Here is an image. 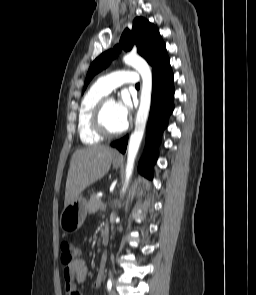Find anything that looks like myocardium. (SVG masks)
Wrapping results in <instances>:
<instances>
[{"instance_id": "obj_1", "label": "myocardium", "mask_w": 256, "mask_h": 295, "mask_svg": "<svg viewBox=\"0 0 256 295\" xmlns=\"http://www.w3.org/2000/svg\"><path fill=\"white\" fill-rule=\"evenodd\" d=\"M109 100V98H102L97 105L95 106L93 113H92V118H91V122H92V128L94 129V131L99 134L101 137L103 138H114L117 136H120L121 134H123L126 129H127V125H124V127L118 131H110L105 123H104V111H105V106L107 101Z\"/></svg>"}]
</instances>
